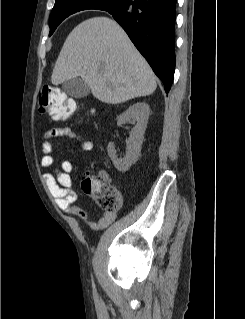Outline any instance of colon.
Returning a JSON list of instances; mask_svg holds the SVG:
<instances>
[{"mask_svg": "<svg viewBox=\"0 0 245 319\" xmlns=\"http://www.w3.org/2000/svg\"><path fill=\"white\" fill-rule=\"evenodd\" d=\"M79 106L67 98L58 88L45 86L39 94V112L60 119L68 118ZM82 190L91 196L98 206L107 212H114L121 207V194L110 183L104 171L94 176H84L81 179Z\"/></svg>", "mask_w": 245, "mask_h": 319, "instance_id": "1", "label": "colon"}]
</instances>
